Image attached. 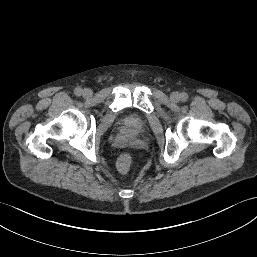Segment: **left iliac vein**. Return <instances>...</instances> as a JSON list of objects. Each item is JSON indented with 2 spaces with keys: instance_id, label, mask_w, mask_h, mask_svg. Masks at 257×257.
Masks as SVG:
<instances>
[{
  "instance_id": "1",
  "label": "left iliac vein",
  "mask_w": 257,
  "mask_h": 257,
  "mask_svg": "<svg viewBox=\"0 0 257 257\" xmlns=\"http://www.w3.org/2000/svg\"><path fill=\"white\" fill-rule=\"evenodd\" d=\"M170 99L173 102H177L180 99V94L178 92H172L170 95Z\"/></svg>"
}]
</instances>
